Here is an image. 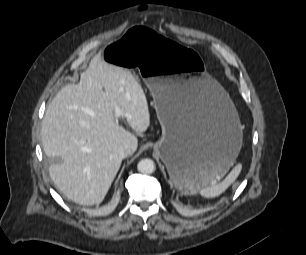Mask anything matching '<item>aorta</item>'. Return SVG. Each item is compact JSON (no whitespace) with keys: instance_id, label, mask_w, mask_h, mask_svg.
Returning <instances> with one entry per match:
<instances>
[{"instance_id":"aorta-1","label":"aorta","mask_w":306,"mask_h":255,"mask_svg":"<svg viewBox=\"0 0 306 255\" xmlns=\"http://www.w3.org/2000/svg\"><path fill=\"white\" fill-rule=\"evenodd\" d=\"M137 169L142 174H152L155 171V164L152 159H142L137 165Z\"/></svg>"}]
</instances>
